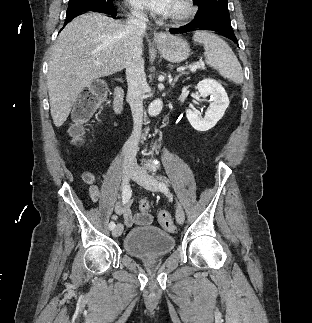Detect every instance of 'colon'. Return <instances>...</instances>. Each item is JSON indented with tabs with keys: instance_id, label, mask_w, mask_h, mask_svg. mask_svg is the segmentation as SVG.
I'll return each mask as SVG.
<instances>
[{
	"instance_id": "1",
	"label": "colon",
	"mask_w": 312,
	"mask_h": 323,
	"mask_svg": "<svg viewBox=\"0 0 312 323\" xmlns=\"http://www.w3.org/2000/svg\"><path fill=\"white\" fill-rule=\"evenodd\" d=\"M107 96L106 86L103 82V79L94 81L91 86L83 91L82 97L83 102L86 104V111L76 117V124L73 125L70 133V138L73 143H77L82 139L83 135V126L87 121L86 116L91 113L93 108H95L101 101H103ZM150 208V203L147 200H140L139 209L141 211H148ZM158 220L160 221L161 227L167 232H175L176 226L173 222V219L170 215L163 211L159 213Z\"/></svg>"
}]
</instances>
